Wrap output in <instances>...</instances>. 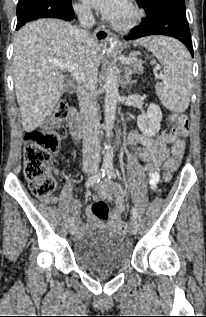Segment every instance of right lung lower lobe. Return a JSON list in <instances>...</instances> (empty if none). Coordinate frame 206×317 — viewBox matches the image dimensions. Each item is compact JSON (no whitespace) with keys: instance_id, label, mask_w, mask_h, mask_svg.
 <instances>
[{"instance_id":"1","label":"right lung lower lobe","mask_w":206,"mask_h":317,"mask_svg":"<svg viewBox=\"0 0 206 317\" xmlns=\"http://www.w3.org/2000/svg\"><path fill=\"white\" fill-rule=\"evenodd\" d=\"M58 17L60 19H64V20H72L74 18V12L72 9V5H70L67 9H60L57 12Z\"/></svg>"}]
</instances>
